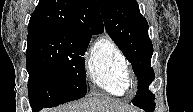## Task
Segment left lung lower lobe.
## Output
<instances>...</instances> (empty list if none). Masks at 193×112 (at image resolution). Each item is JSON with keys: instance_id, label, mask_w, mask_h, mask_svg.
<instances>
[{"instance_id": "0a47b994", "label": "left lung lower lobe", "mask_w": 193, "mask_h": 112, "mask_svg": "<svg viewBox=\"0 0 193 112\" xmlns=\"http://www.w3.org/2000/svg\"><path fill=\"white\" fill-rule=\"evenodd\" d=\"M154 108H155V104H152V105H150V106H148L146 108H143V109L146 110V111H153Z\"/></svg>"}]
</instances>
